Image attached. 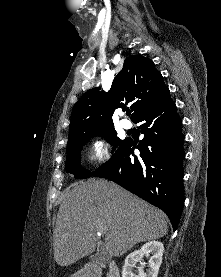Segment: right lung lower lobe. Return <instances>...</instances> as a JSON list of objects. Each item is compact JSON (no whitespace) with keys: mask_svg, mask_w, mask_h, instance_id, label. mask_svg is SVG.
Segmentation results:
<instances>
[{"mask_svg":"<svg viewBox=\"0 0 221 277\" xmlns=\"http://www.w3.org/2000/svg\"><path fill=\"white\" fill-rule=\"evenodd\" d=\"M140 123L144 138L136 146L125 139L112 158L101 165L95 177L114 181L140 198L162 209L173 229L179 223L184 203L182 122L167 90L133 120ZM134 148L140 155H134Z\"/></svg>","mask_w":221,"mask_h":277,"instance_id":"obj_1","label":"right lung lower lobe"}]
</instances>
